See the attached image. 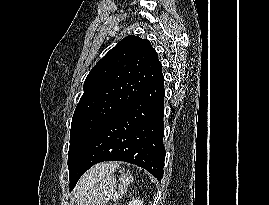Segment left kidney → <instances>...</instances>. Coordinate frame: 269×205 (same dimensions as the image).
<instances>
[{"instance_id": "left-kidney-1", "label": "left kidney", "mask_w": 269, "mask_h": 205, "mask_svg": "<svg viewBox=\"0 0 269 205\" xmlns=\"http://www.w3.org/2000/svg\"><path fill=\"white\" fill-rule=\"evenodd\" d=\"M128 205H143V201L139 199H133L128 203Z\"/></svg>"}]
</instances>
